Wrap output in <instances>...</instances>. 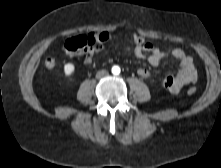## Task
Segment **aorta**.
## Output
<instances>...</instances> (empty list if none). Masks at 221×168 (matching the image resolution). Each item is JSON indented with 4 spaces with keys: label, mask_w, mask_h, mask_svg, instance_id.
I'll use <instances>...</instances> for the list:
<instances>
[{
    "label": "aorta",
    "mask_w": 221,
    "mask_h": 168,
    "mask_svg": "<svg viewBox=\"0 0 221 168\" xmlns=\"http://www.w3.org/2000/svg\"><path fill=\"white\" fill-rule=\"evenodd\" d=\"M112 73L113 74H119L120 73V68L119 67H117V66H114L113 68H112Z\"/></svg>",
    "instance_id": "1"
}]
</instances>
